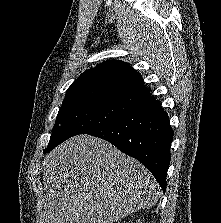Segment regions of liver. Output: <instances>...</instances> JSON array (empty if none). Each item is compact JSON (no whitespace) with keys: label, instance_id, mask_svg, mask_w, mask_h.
Returning <instances> with one entry per match:
<instances>
[{"label":"liver","instance_id":"6515ba94","mask_svg":"<svg viewBox=\"0 0 221 223\" xmlns=\"http://www.w3.org/2000/svg\"><path fill=\"white\" fill-rule=\"evenodd\" d=\"M43 167L39 223H113L153 207L161 196L140 162L89 135L57 146Z\"/></svg>","mask_w":221,"mask_h":223}]
</instances>
